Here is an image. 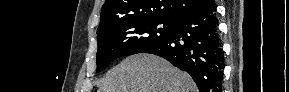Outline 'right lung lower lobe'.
I'll return each mask as SVG.
<instances>
[{"mask_svg": "<svg viewBox=\"0 0 289 92\" xmlns=\"http://www.w3.org/2000/svg\"><path fill=\"white\" fill-rule=\"evenodd\" d=\"M139 53L161 56L188 72L200 92H220L225 65L215 2L175 19L169 37Z\"/></svg>", "mask_w": 289, "mask_h": 92, "instance_id": "98d812e1", "label": "right lung lower lobe"}]
</instances>
